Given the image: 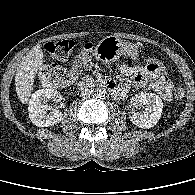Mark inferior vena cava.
Instances as JSON below:
<instances>
[{
  "instance_id": "1",
  "label": "inferior vena cava",
  "mask_w": 195,
  "mask_h": 195,
  "mask_svg": "<svg viewBox=\"0 0 195 195\" xmlns=\"http://www.w3.org/2000/svg\"><path fill=\"white\" fill-rule=\"evenodd\" d=\"M93 90L92 89H89V88H84L81 90L80 92V97H82L83 99H88L90 98L91 96H93Z\"/></svg>"
}]
</instances>
